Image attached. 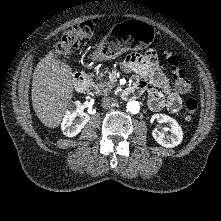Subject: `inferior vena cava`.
Returning <instances> with one entry per match:
<instances>
[{
    "label": "inferior vena cava",
    "mask_w": 221,
    "mask_h": 221,
    "mask_svg": "<svg viewBox=\"0 0 221 221\" xmlns=\"http://www.w3.org/2000/svg\"><path fill=\"white\" fill-rule=\"evenodd\" d=\"M117 102L116 98L106 96L102 98V107L106 109L113 108L117 105Z\"/></svg>",
    "instance_id": "obj_1"
}]
</instances>
